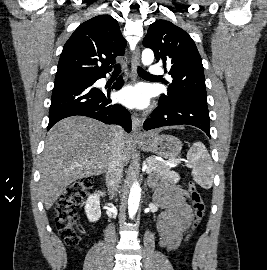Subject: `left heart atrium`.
<instances>
[{"instance_id": "1", "label": "left heart atrium", "mask_w": 267, "mask_h": 270, "mask_svg": "<svg viewBox=\"0 0 267 270\" xmlns=\"http://www.w3.org/2000/svg\"><path fill=\"white\" fill-rule=\"evenodd\" d=\"M119 100L128 107L143 108L148 104V94L142 86L126 87L120 91Z\"/></svg>"}]
</instances>
